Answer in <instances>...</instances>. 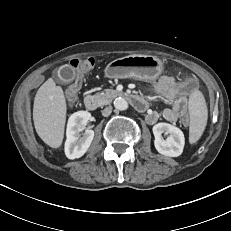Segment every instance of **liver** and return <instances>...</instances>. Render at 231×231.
Returning a JSON list of instances; mask_svg holds the SVG:
<instances>
[{
    "label": "liver",
    "instance_id": "obj_1",
    "mask_svg": "<svg viewBox=\"0 0 231 231\" xmlns=\"http://www.w3.org/2000/svg\"><path fill=\"white\" fill-rule=\"evenodd\" d=\"M66 111L63 89L49 78L36 93L33 121L38 136L52 148H59L63 142Z\"/></svg>",
    "mask_w": 231,
    "mask_h": 231
}]
</instances>
